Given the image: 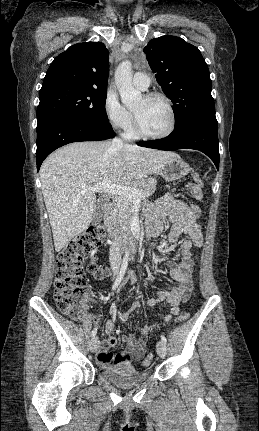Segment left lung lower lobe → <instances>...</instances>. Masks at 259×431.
I'll return each mask as SVG.
<instances>
[{
	"label": "left lung lower lobe",
	"instance_id": "obj_1",
	"mask_svg": "<svg viewBox=\"0 0 259 431\" xmlns=\"http://www.w3.org/2000/svg\"><path fill=\"white\" fill-rule=\"evenodd\" d=\"M218 123L190 120L176 126L166 138L138 143L159 150L195 149L205 153L219 169Z\"/></svg>",
	"mask_w": 259,
	"mask_h": 431
}]
</instances>
